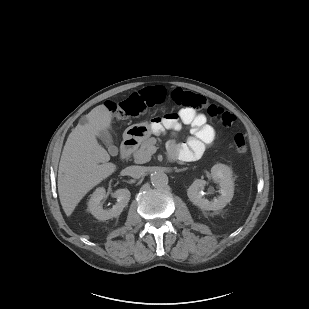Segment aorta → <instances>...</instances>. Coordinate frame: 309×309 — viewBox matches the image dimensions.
I'll return each mask as SVG.
<instances>
[{
  "instance_id": "aorta-1",
  "label": "aorta",
  "mask_w": 309,
  "mask_h": 309,
  "mask_svg": "<svg viewBox=\"0 0 309 309\" xmlns=\"http://www.w3.org/2000/svg\"><path fill=\"white\" fill-rule=\"evenodd\" d=\"M151 183L155 188H164L168 184V176L163 172H155L151 176Z\"/></svg>"
}]
</instances>
